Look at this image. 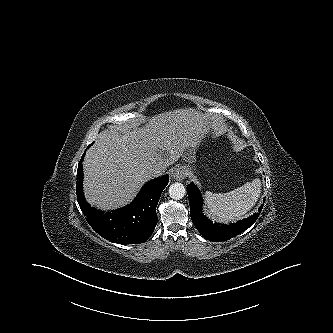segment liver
Masks as SVG:
<instances>
[{
    "label": "liver",
    "instance_id": "liver-1",
    "mask_svg": "<svg viewBox=\"0 0 333 333\" xmlns=\"http://www.w3.org/2000/svg\"><path fill=\"white\" fill-rule=\"evenodd\" d=\"M206 132V121L193 109L155 115L143 128L102 131L83 162L86 200L100 210L129 204L149 180L151 166L165 171L186 153L195 155Z\"/></svg>",
    "mask_w": 333,
    "mask_h": 333
}]
</instances>
